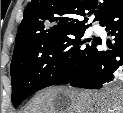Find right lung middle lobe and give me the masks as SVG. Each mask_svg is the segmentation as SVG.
Segmentation results:
<instances>
[{"label":"right lung middle lobe","instance_id":"1","mask_svg":"<svg viewBox=\"0 0 123 113\" xmlns=\"http://www.w3.org/2000/svg\"><path fill=\"white\" fill-rule=\"evenodd\" d=\"M85 30L72 29L14 48L11 62L14 107L40 89L69 83L81 74L101 41L97 37L85 39Z\"/></svg>","mask_w":123,"mask_h":113}]
</instances>
